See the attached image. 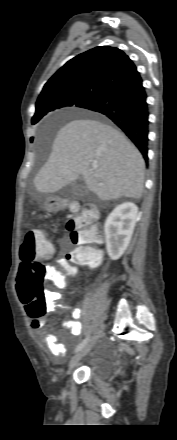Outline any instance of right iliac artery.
I'll return each instance as SVG.
<instances>
[{"instance_id": "1", "label": "right iliac artery", "mask_w": 177, "mask_h": 440, "mask_svg": "<svg viewBox=\"0 0 177 440\" xmlns=\"http://www.w3.org/2000/svg\"><path fill=\"white\" fill-rule=\"evenodd\" d=\"M89 341V337H86L75 349V352L80 351Z\"/></svg>"}]
</instances>
